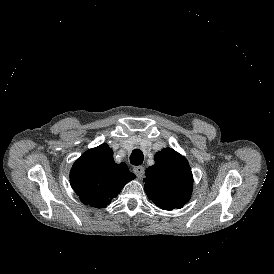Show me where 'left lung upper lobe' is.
<instances>
[{"label": "left lung upper lobe", "instance_id": "obj_1", "mask_svg": "<svg viewBox=\"0 0 274 274\" xmlns=\"http://www.w3.org/2000/svg\"><path fill=\"white\" fill-rule=\"evenodd\" d=\"M155 164L145 171V192L155 205L165 210L182 208L191 197L193 175L187 160L166 148L156 153Z\"/></svg>", "mask_w": 274, "mask_h": 274}]
</instances>
